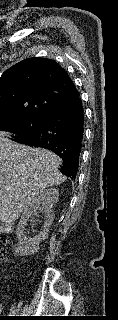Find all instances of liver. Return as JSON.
I'll return each instance as SVG.
<instances>
[{
	"label": "liver",
	"mask_w": 118,
	"mask_h": 320,
	"mask_svg": "<svg viewBox=\"0 0 118 320\" xmlns=\"http://www.w3.org/2000/svg\"><path fill=\"white\" fill-rule=\"evenodd\" d=\"M0 132V220L6 225L29 208L36 195L66 177L61 158L51 151L13 142Z\"/></svg>",
	"instance_id": "obj_1"
}]
</instances>
